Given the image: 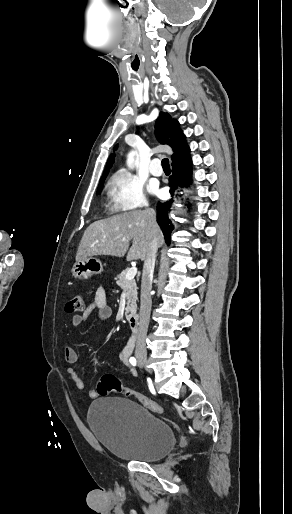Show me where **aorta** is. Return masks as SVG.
<instances>
[{
	"mask_svg": "<svg viewBox=\"0 0 292 514\" xmlns=\"http://www.w3.org/2000/svg\"><path fill=\"white\" fill-rule=\"evenodd\" d=\"M128 164H132V158H129Z\"/></svg>",
	"mask_w": 292,
	"mask_h": 514,
	"instance_id": "1",
	"label": "aorta"
}]
</instances>
